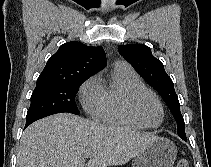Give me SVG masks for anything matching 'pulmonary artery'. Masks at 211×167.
<instances>
[{
    "instance_id": "obj_1",
    "label": "pulmonary artery",
    "mask_w": 211,
    "mask_h": 167,
    "mask_svg": "<svg viewBox=\"0 0 211 167\" xmlns=\"http://www.w3.org/2000/svg\"><path fill=\"white\" fill-rule=\"evenodd\" d=\"M116 66H119V67H129V65L124 62V61H119L116 63Z\"/></svg>"
}]
</instances>
